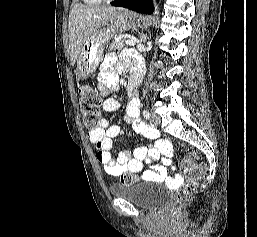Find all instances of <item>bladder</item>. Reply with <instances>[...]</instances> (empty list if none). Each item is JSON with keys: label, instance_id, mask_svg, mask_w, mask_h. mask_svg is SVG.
Wrapping results in <instances>:
<instances>
[{"label": "bladder", "instance_id": "obj_1", "mask_svg": "<svg viewBox=\"0 0 257 237\" xmlns=\"http://www.w3.org/2000/svg\"><path fill=\"white\" fill-rule=\"evenodd\" d=\"M153 181L143 180L129 184H115L109 189L116 198L126 199L145 210H156L168 202V191L153 185Z\"/></svg>", "mask_w": 257, "mask_h": 237}]
</instances>
